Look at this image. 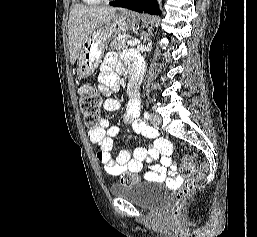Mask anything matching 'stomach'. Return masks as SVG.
I'll use <instances>...</instances> for the list:
<instances>
[{
    "label": "stomach",
    "instance_id": "1",
    "mask_svg": "<svg viewBox=\"0 0 257 237\" xmlns=\"http://www.w3.org/2000/svg\"><path fill=\"white\" fill-rule=\"evenodd\" d=\"M137 23L135 14L123 11L116 13L104 25L95 29L83 43L77 61V74L87 77L102 60L108 43L116 36L125 34Z\"/></svg>",
    "mask_w": 257,
    "mask_h": 237
}]
</instances>
